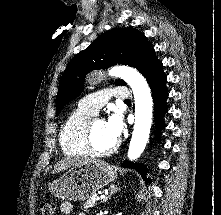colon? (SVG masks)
Here are the masks:
<instances>
[{
	"mask_svg": "<svg viewBox=\"0 0 221 215\" xmlns=\"http://www.w3.org/2000/svg\"><path fill=\"white\" fill-rule=\"evenodd\" d=\"M42 214L43 215H53L54 214V206L49 203H44L42 205Z\"/></svg>",
	"mask_w": 221,
	"mask_h": 215,
	"instance_id": "colon-1",
	"label": "colon"
}]
</instances>
